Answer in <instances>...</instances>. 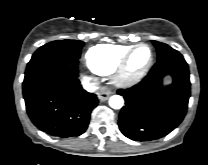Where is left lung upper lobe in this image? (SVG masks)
I'll use <instances>...</instances> for the list:
<instances>
[{"label": "left lung upper lobe", "instance_id": "1", "mask_svg": "<svg viewBox=\"0 0 208 165\" xmlns=\"http://www.w3.org/2000/svg\"><path fill=\"white\" fill-rule=\"evenodd\" d=\"M153 44L157 48V59H160L169 53L176 52V50L164 43L153 41Z\"/></svg>", "mask_w": 208, "mask_h": 165}]
</instances>
